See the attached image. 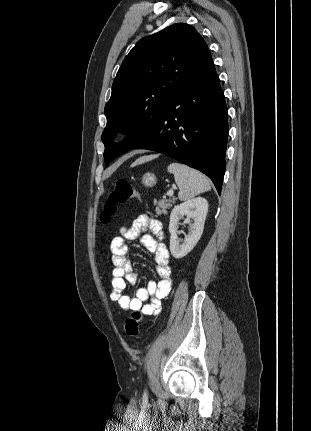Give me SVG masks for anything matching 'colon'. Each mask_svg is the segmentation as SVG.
I'll use <instances>...</instances> for the list:
<instances>
[{
	"instance_id": "5ec220e1",
	"label": "colon",
	"mask_w": 311,
	"mask_h": 431,
	"mask_svg": "<svg viewBox=\"0 0 311 431\" xmlns=\"http://www.w3.org/2000/svg\"><path fill=\"white\" fill-rule=\"evenodd\" d=\"M140 198V193L126 179L119 178L115 181L113 190L109 194L101 214V220L108 222L116 213L117 206L132 199ZM141 311H135L125 322V332L128 336L135 338L139 334Z\"/></svg>"
}]
</instances>
